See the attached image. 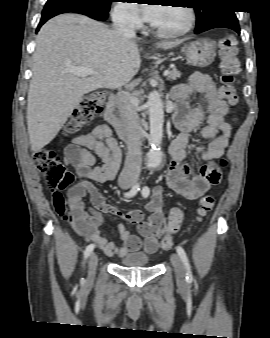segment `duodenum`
Wrapping results in <instances>:
<instances>
[{
	"label": "duodenum",
	"mask_w": 270,
	"mask_h": 338,
	"mask_svg": "<svg viewBox=\"0 0 270 338\" xmlns=\"http://www.w3.org/2000/svg\"><path fill=\"white\" fill-rule=\"evenodd\" d=\"M118 103L116 96L112 95L109 102L105 105L103 110V118L106 122H108L118 133L120 137L123 136L121 130V121L118 116Z\"/></svg>",
	"instance_id": "obj_1"
}]
</instances>
